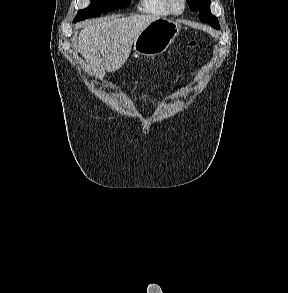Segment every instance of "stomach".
<instances>
[{
  "mask_svg": "<svg viewBox=\"0 0 288 293\" xmlns=\"http://www.w3.org/2000/svg\"><path fill=\"white\" fill-rule=\"evenodd\" d=\"M181 26L170 19L159 18L149 23L136 37L133 50L136 55L152 57L167 50L179 34Z\"/></svg>",
  "mask_w": 288,
  "mask_h": 293,
  "instance_id": "stomach-1",
  "label": "stomach"
}]
</instances>
